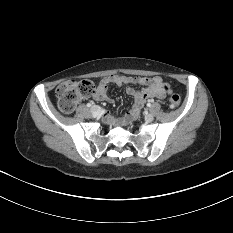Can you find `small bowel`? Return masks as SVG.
<instances>
[{
  "label": "small bowel",
  "mask_w": 233,
  "mask_h": 233,
  "mask_svg": "<svg viewBox=\"0 0 233 233\" xmlns=\"http://www.w3.org/2000/svg\"><path fill=\"white\" fill-rule=\"evenodd\" d=\"M110 84L122 85H142L141 90H135L132 87H127L126 93L134 98V104L131 109L125 114L123 122L128 123L136 119L144 103L148 99H164L167 93L170 92L169 87L163 82L159 76L154 77H139V76H127L120 74H111L100 80L93 95V98L97 101L112 102L108 97L107 91ZM108 121L113 122L114 119L110 114L106 115Z\"/></svg>",
  "instance_id": "c3829d8e"
}]
</instances>
